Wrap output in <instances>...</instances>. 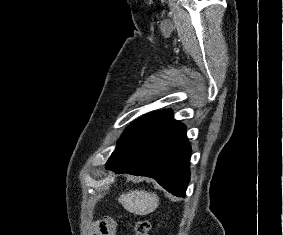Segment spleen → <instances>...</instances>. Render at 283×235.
Segmentation results:
<instances>
[{
  "label": "spleen",
  "instance_id": "3e777b00",
  "mask_svg": "<svg viewBox=\"0 0 283 235\" xmlns=\"http://www.w3.org/2000/svg\"><path fill=\"white\" fill-rule=\"evenodd\" d=\"M125 210L136 215H147L153 212L159 204L157 194L145 190H130L118 198Z\"/></svg>",
  "mask_w": 283,
  "mask_h": 235
}]
</instances>
